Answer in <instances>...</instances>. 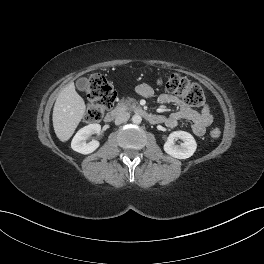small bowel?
<instances>
[{
	"instance_id": "1",
	"label": "small bowel",
	"mask_w": 264,
	"mask_h": 264,
	"mask_svg": "<svg viewBox=\"0 0 264 264\" xmlns=\"http://www.w3.org/2000/svg\"><path fill=\"white\" fill-rule=\"evenodd\" d=\"M135 92L145 98L153 95V90L147 84L136 86ZM158 102L160 104H173L178 107V110L164 117V124L169 128L178 126L180 120L186 119L191 122L190 129L196 136H202L206 128L212 123L213 116L207 104H204L200 110H196L186 104L181 98L173 94L163 93L159 95Z\"/></svg>"
}]
</instances>
